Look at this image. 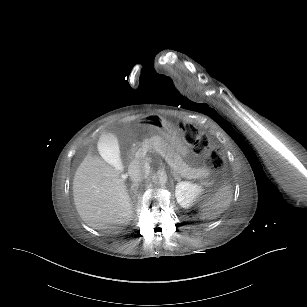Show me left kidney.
<instances>
[{
  "mask_svg": "<svg viewBox=\"0 0 307 307\" xmlns=\"http://www.w3.org/2000/svg\"><path fill=\"white\" fill-rule=\"evenodd\" d=\"M201 192V187L189 182H179L175 188V197L182 207H188Z\"/></svg>",
  "mask_w": 307,
  "mask_h": 307,
  "instance_id": "5707ae66",
  "label": "left kidney"
}]
</instances>
